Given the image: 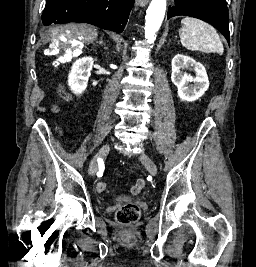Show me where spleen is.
<instances>
[{
    "label": "spleen",
    "instance_id": "1",
    "mask_svg": "<svg viewBox=\"0 0 256 267\" xmlns=\"http://www.w3.org/2000/svg\"><path fill=\"white\" fill-rule=\"evenodd\" d=\"M179 30L180 42L186 50L191 52H205V54H220L224 52L220 36L210 24L197 18H183Z\"/></svg>",
    "mask_w": 256,
    "mask_h": 267
}]
</instances>
